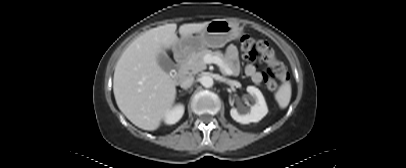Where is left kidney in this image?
Segmentation results:
<instances>
[{"instance_id":"obj_1","label":"left kidney","mask_w":406,"mask_h":168,"mask_svg":"<svg viewBox=\"0 0 406 168\" xmlns=\"http://www.w3.org/2000/svg\"><path fill=\"white\" fill-rule=\"evenodd\" d=\"M247 92L252 96L255 103L249 109L238 111L236 108H232L230 110L231 117L241 124L259 122L268 113V108L261 91L254 86H248Z\"/></svg>"}]
</instances>
